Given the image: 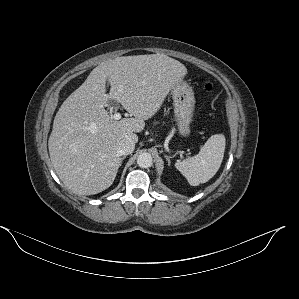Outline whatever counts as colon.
<instances>
[{
	"mask_svg": "<svg viewBox=\"0 0 299 299\" xmlns=\"http://www.w3.org/2000/svg\"><path fill=\"white\" fill-rule=\"evenodd\" d=\"M205 89H206L207 91H210V90L212 89L211 84L206 83V84H205Z\"/></svg>",
	"mask_w": 299,
	"mask_h": 299,
	"instance_id": "obj_1",
	"label": "colon"
}]
</instances>
